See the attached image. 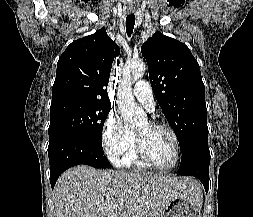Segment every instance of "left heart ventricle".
Masks as SVG:
<instances>
[{"mask_svg": "<svg viewBox=\"0 0 253 217\" xmlns=\"http://www.w3.org/2000/svg\"><path fill=\"white\" fill-rule=\"evenodd\" d=\"M150 159L157 165L169 166L174 159V143L165 129L154 128L149 122L142 124L137 130Z\"/></svg>", "mask_w": 253, "mask_h": 217, "instance_id": "b2bd125f", "label": "left heart ventricle"}]
</instances>
